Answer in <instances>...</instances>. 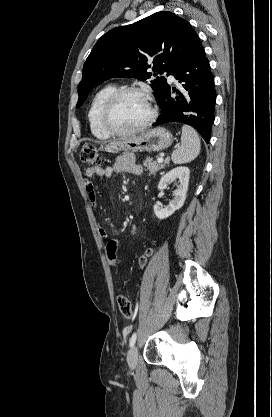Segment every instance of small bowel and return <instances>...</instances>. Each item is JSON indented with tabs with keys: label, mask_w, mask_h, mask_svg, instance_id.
<instances>
[{
	"label": "small bowel",
	"mask_w": 272,
	"mask_h": 417,
	"mask_svg": "<svg viewBox=\"0 0 272 417\" xmlns=\"http://www.w3.org/2000/svg\"><path fill=\"white\" fill-rule=\"evenodd\" d=\"M143 172V168L140 163H138L135 157L132 154H124L118 156L111 166L107 167H100L94 166L87 168L84 171L85 176V187L88 193L89 199L93 205L96 203V193H95V186L92 182V178L97 176L100 178H111L114 174H132V175H140ZM99 235L101 239L107 240L108 233L103 228H99Z\"/></svg>",
	"instance_id": "c3829d8e"
}]
</instances>
